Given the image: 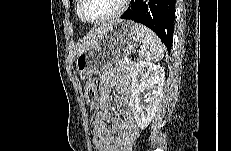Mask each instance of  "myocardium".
<instances>
[{"label": "myocardium", "mask_w": 231, "mask_h": 151, "mask_svg": "<svg viewBox=\"0 0 231 151\" xmlns=\"http://www.w3.org/2000/svg\"><path fill=\"white\" fill-rule=\"evenodd\" d=\"M128 3H129V0H122L120 7L114 13L107 15L105 17H102L100 19L91 20V19L86 18L84 15V12H83L85 0H80L79 1V7H78V14H79L80 18L86 23L102 24V23H106V22H109V21H112L114 19L119 18L124 13V11L126 10Z\"/></svg>", "instance_id": "1"}]
</instances>
